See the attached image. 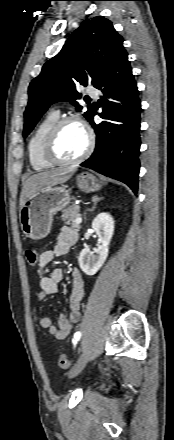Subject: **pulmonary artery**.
Masks as SVG:
<instances>
[{"label": "pulmonary artery", "mask_w": 174, "mask_h": 440, "mask_svg": "<svg viewBox=\"0 0 174 440\" xmlns=\"http://www.w3.org/2000/svg\"><path fill=\"white\" fill-rule=\"evenodd\" d=\"M86 91L89 95H91L93 97L97 96V90L92 86H88ZM52 112L59 115V111L57 109L53 110Z\"/></svg>", "instance_id": "pulmonary-artery-1"}]
</instances>
